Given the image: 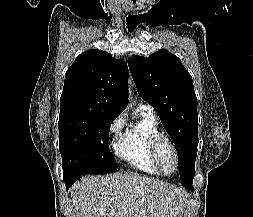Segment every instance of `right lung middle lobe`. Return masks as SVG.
<instances>
[{"instance_id": "obj_1", "label": "right lung middle lobe", "mask_w": 253, "mask_h": 217, "mask_svg": "<svg viewBox=\"0 0 253 217\" xmlns=\"http://www.w3.org/2000/svg\"><path fill=\"white\" fill-rule=\"evenodd\" d=\"M116 115L78 108L60 110L59 150L66 176L106 174L117 170L108 146Z\"/></svg>"}]
</instances>
